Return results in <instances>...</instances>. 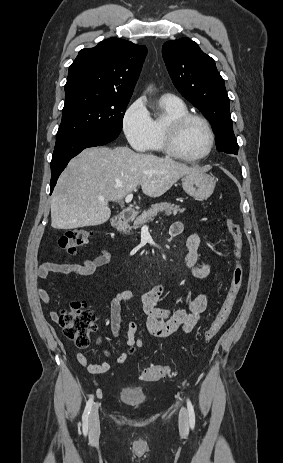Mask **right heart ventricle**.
<instances>
[{"label":"right heart ventricle","mask_w":283,"mask_h":463,"mask_svg":"<svg viewBox=\"0 0 283 463\" xmlns=\"http://www.w3.org/2000/svg\"><path fill=\"white\" fill-rule=\"evenodd\" d=\"M162 115L152 119L153 137L149 145L150 150L163 151V130L165 123L177 116L188 112L186 104L178 98H161Z\"/></svg>","instance_id":"e07e8e85"}]
</instances>
